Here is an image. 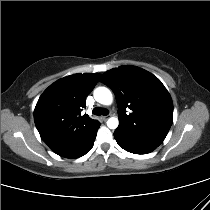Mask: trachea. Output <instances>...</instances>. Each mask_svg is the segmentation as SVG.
Returning <instances> with one entry per match:
<instances>
[{"label":"trachea","mask_w":210,"mask_h":210,"mask_svg":"<svg viewBox=\"0 0 210 210\" xmlns=\"http://www.w3.org/2000/svg\"><path fill=\"white\" fill-rule=\"evenodd\" d=\"M93 114L94 115H108L109 111L106 108H100V107H95L93 109Z\"/></svg>","instance_id":"3493384b"}]
</instances>
